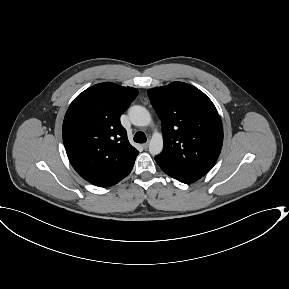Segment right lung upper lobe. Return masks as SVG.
<instances>
[{
    "mask_svg": "<svg viewBox=\"0 0 289 289\" xmlns=\"http://www.w3.org/2000/svg\"><path fill=\"white\" fill-rule=\"evenodd\" d=\"M138 91L111 82L96 84L69 106L62 128L67 156L91 184L109 187L132 170L138 151L129 143L120 116Z\"/></svg>",
    "mask_w": 289,
    "mask_h": 289,
    "instance_id": "1",
    "label": "right lung upper lobe"
}]
</instances>
